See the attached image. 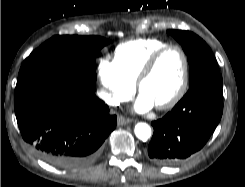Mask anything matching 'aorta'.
Returning <instances> with one entry per match:
<instances>
[{"label":"aorta","mask_w":245,"mask_h":187,"mask_svg":"<svg viewBox=\"0 0 245 187\" xmlns=\"http://www.w3.org/2000/svg\"><path fill=\"white\" fill-rule=\"evenodd\" d=\"M134 133L138 139L146 141L151 137L152 131L148 124L140 122L135 125Z\"/></svg>","instance_id":"obj_1"}]
</instances>
